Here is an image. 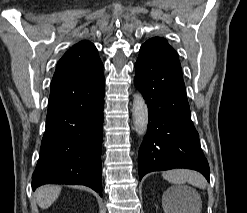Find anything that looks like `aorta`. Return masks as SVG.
<instances>
[{"label": "aorta", "instance_id": "aorta-1", "mask_svg": "<svg viewBox=\"0 0 247 213\" xmlns=\"http://www.w3.org/2000/svg\"><path fill=\"white\" fill-rule=\"evenodd\" d=\"M132 112L135 131L139 136H144L148 128V108L139 92L134 95Z\"/></svg>", "mask_w": 247, "mask_h": 213}]
</instances>
